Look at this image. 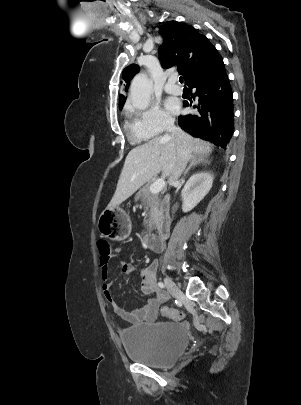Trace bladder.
<instances>
[{
  "mask_svg": "<svg viewBox=\"0 0 301 405\" xmlns=\"http://www.w3.org/2000/svg\"><path fill=\"white\" fill-rule=\"evenodd\" d=\"M120 339L131 360L156 368L173 365L189 343L185 327L173 322L127 327L120 332Z\"/></svg>",
  "mask_w": 301,
  "mask_h": 405,
  "instance_id": "1",
  "label": "bladder"
}]
</instances>
